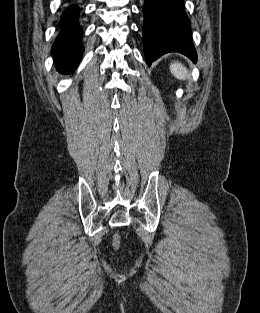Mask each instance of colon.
I'll return each instance as SVG.
<instances>
[{
    "mask_svg": "<svg viewBox=\"0 0 260 313\" xmlns=\"http://www.w3.org/2000/svg\"><path fill=\"white\" fill-rule=\"evenodd\" d=\"M121 246V236L120 234H116L112 241V247L115 251H118Z\"/></svg>",
    "mask_w": 260,
    "mask_h": 313,
    "instance_id": "colon-1",
    "label": "colon"
}]
</instances>
